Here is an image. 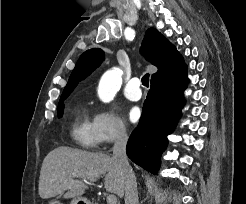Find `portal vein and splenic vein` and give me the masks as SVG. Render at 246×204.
Returning a JSON list of instances; mask_svg holds the SVG:
<instances>
[{"label": "portal vein and splenic vein", "instance_id": "obj_1", "mask_svg": "<svg viewBox=\"0 0 246 204\" xmlns=\"http://www.w3.org/2000/svg\"><path fill=\"white\" fill-rule=\"evenodd\" d=\"M73 176H76V174L73 173ZM84 181H85V182H88V181L85 180V179H84ZM90 182H91V180H90ZM90 182H88V183H90ZM107 203H108V204H116V203H117V197H116L114 194H109V195L107 196Z\"/></svg>", "mask_w": 246, "mask_h": 204}]
</instances>
